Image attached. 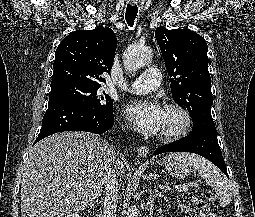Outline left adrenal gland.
Instances as JSON below:
<instances>
[{
    "label": "left adrenal gland",
    "instance_id": "1",
    "mask_svg": "<svg viewBox=\"0 0 255 217\" xmlns=\"http://www.w3.org/2000/svg\"><path fill=\"white\" fill-rule=\"evenodd\" d=\"M148 191H149V200L147 202V210L149 211V215L151 216L153 214V206H154V200L157 197L161 196V193H154V191L152 190V188L149 186L148 187Z\"/></svg>",
    "mask_w": 255,
    "mask_h": 217
}]
</instances>
